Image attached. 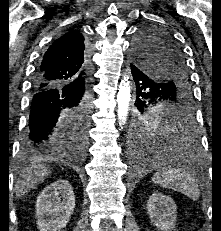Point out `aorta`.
<instances>
[{
    "mask_svg": "<svg viewBox=\"0 0 221 231\" xmlns=\"http://www.w3.org/2000/svg\"><path fill=\"white\" fill-rule=\"evenodd\" d=\"M131 102V86L128 77H124L118 88L117 93V116L118 123L123 126L127 122L129 105Z\"/></svg>",
    "mask_w": 221,
    "mask_h": 231,
    "instance_id": "762f6f07",
    "label": "aorta"
}]
</instances>
